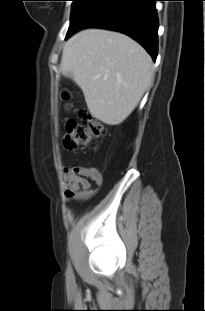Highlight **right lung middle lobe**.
I'll return each mask as SVG.
<instances>
[{"label":"right lung middle lobe","mask_w":205,"mask_h":311,"mask_svg":"<svg viewBox=\"0 0 205 311\" xmlns=\"http://www.w3.org/2000/svg\"><path fill=\"white\" fill-rule=\"evenodd\" d=\"M72 1H73V5H72V13H71V22H70V27L68 31H70L72 27L75 25L79 16L82 14V12L85 9V6L90 0H72Z\"/></svg>","instance_id":"obj_1"}]
</instances>
